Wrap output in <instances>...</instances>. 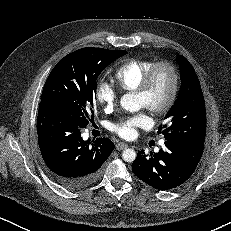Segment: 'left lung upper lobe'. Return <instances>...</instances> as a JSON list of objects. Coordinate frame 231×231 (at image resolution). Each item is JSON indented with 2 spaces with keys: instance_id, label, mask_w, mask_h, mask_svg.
I'll list each match as a JSON object with an SVG mask.
<instances>
[{
  "instance_id": "obj_1",
  "label": "left lung upper lobe",
  "mask_w": 231,
  "mask_h": 231,
  "mask_svg": "<svg viewBox=\"0 0 231 231\" xmlns=\"http://www.w3.org/2000/svg\"><path fill=\"white\" fill-rule=\"evenodd\" d=\"M181 89L173 108L165 119L168 124L159 127V134L165 140L204 144L206 134V110L203 93L198 77L189 61L178 56Z\"/></svg>"
}]
</instances>
